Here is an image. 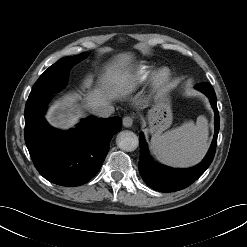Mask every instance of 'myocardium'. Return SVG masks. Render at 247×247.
Instances as JSON below:
<instances>
[{
  "label": "myocardium",
  "instance_id": "f54148a6",
  "mask_svg": "<svg viewBox=\"0 0 247 247\" xmlns=\"http://www.w3.org/2000/svg\"><path fill=\"white\" fill-rule=\"evenodd\" d=\"M172 79V72L167 67H162L156 71L152 79V89L154 91L164 90Z\"/></svg>",
  "mask_w": 247,
  "mask_h": 247
}]
</instances>
